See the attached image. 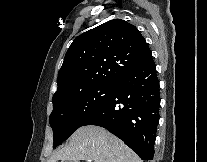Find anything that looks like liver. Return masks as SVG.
Instances as JSON below:
<instances>
[{
	"label": "liver",
	"instance_id": "obj_1",
	"mask_svg": "<svg viewBox=\"0 0 207 162\" xmlns=\"http://www.w3.org/2000/svg\"><path fill=\"white\" fill-rule=\"evenodd\" d=\"M89 160L93 162H142L123 141L106 129L87 125L77 129L68 143L48 162Z\"/></svg>",
	"mask_w": 207,
	"mask_h": 162
}]
</instances>
